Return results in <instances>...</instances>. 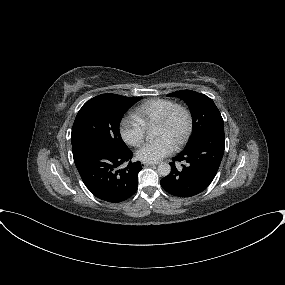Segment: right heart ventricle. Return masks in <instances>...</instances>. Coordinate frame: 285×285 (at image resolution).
Segmentation results:
<instances>
[{
    "mask_svg": "<svg viewBox=\"0 0 285 285\" xmlns=\"http://www.w3.org/2000/svg\"><path fill=\"white\" fill-rule=\"evenodd\" d=\"M177 105L169 99H151L135 109V115L148 127L162 118L172 107Z\"/></svg>",
    "mask_w": 285,
    "mask_h": 285,
    "instance_id": "e07e8e85",
    "label": "right heart ventricle"
}]
</instances>
